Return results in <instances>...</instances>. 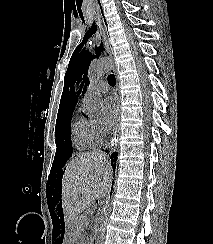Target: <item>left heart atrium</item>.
I'll return each mask as SVG.
<instances>
[{
	"label": "left heart atrium",
	"instance_id": "39dd6f15",
	"mask_svg": "<svg viewBox=\"0 0 213 244\" xmlns=\"http://www.w3.org/2000/svg\"><path fill=\"white\" fill-rule=\"evenodd\" d=\"M118 100L109 96L103 101L104 124L107 128H112L116 124L118 115Z\"/></svg>",
	"mask_w": 213,
	"mask_h": 244
}]
</instances>
